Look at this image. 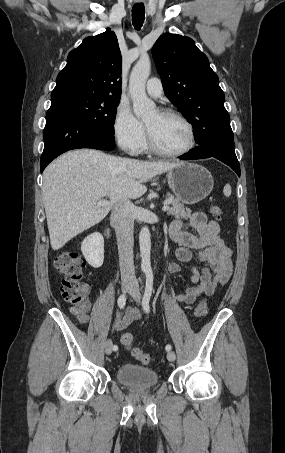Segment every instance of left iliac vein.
<instances>
[{"label": "left iliac vein", "instance_id": "4c4485c4", "mask_svg": "<svg viewBox=\"0 0 285 453\" xmlns=\"http://www.w3.org/2000/svg\"><path fill=\"white\" fill-rule=\"evenodd\" d=\"M130 295L136 302H140L141 294H140L139 286L137 284H134L133 287L131 288ZM167 359L171 362L175 361V359H176L175 353L173 351H168Z\"/></svg>", "mask_w": 285, "mask_h": 453}]
</instances>
